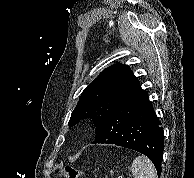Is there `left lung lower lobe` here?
I'll return each instance as SVG.
<instances>
[{"label": "left lung lower lobe", "mask_w": 194, "mask_h": 178, "mask_svg": "<svg viewBox=\"0 0 194 178\" xmlns=\"http://www.w3.org/2000/svg\"><path fill=\"white\" fill-rule=\"evenodd\" d=\"M95 133L93 143L115 144L146 155L160 176L163 130L145 90L120 102L96 126Z\"/></svg>", "instance_id": "1"}]
</instances>
